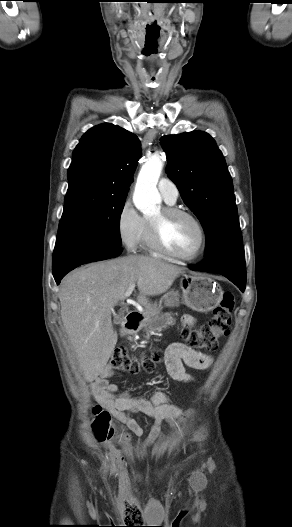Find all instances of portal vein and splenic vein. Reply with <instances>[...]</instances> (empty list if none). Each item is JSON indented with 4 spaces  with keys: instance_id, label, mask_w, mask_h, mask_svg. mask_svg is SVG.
Instances as JSON below:
<instances>
[{
    "instance_id": "1",
    "label": "portal vein and splenic vein",
    "mask_w": 292,
    "mask_h": 527,
    "mask_svg": "<svg viewBox=\"0 0 292 527\" xmlns=\"http://www.w3.org/2000/svg\"><path fill=\"white\" fill-rule=\"evenodd\" d=\"M134 288H135V283H132L129 286L128 290L125 292V294L122 296L121 300H125L126 298H128L131 295V293L134 290Z\"/></svg>"
}]
</instances>
